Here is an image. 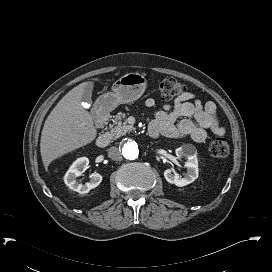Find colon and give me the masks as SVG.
Listing matches in <instances>:
<instances>
[{
    "mask_svg": "<svg viewBox=\"0 0 272 272\" xmlns=\"http://www.w3.org/2000/svg\"><path fill=\"white\" fill-rule=\"evenodd\" d=\"M160 96L165 101H171L185 94L186 87L174 78L164 77L157 80ZM209 151L212 156L217 158L226 157L229 153V144L226 138L222 136L215 137L209 146Z\"/></svg>",
    "mask_w": 272,
    "mask_h": 272,
    "instance_id": "5ec220e1",
    "label": "colon"
}]
</instances>
